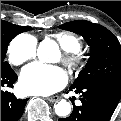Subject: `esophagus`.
<instances>
[{
	"instance_id": "obj_1",
	"label": "esophagus",
	"mask_w": 121,
	"mask_h": 121,
	"mask_svg": "<svg viewBox=\"0 0 121 121\" xmlns=\"http://www.w3.org/2000/svg\"><path fill=\"white\" fill-rule=\"evenodd\" d=\"M58 99H59V96H57V95L46 98V100L51 103L57 101Z\"/></svg>"
}]
</instances>
